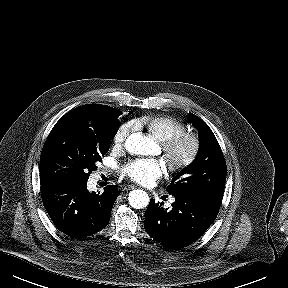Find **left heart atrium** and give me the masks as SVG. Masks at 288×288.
<instances>
[{"instance_id":"obj_1","label":"left heart atrium","mask_w":288,"mask_h":288,"mask_svg":"<svg viewBox=\"0 0 288 288\" xmlns=\"http://www.w3.org/2000/svg\"><path fill=\"white\" fill-rule=\"evenodd\" d=\"M164 172L163 164L157 159H141L128 163L122 173L134 182L142 185H151Z\"/></svg>"}]
</instances>
